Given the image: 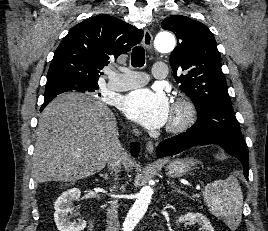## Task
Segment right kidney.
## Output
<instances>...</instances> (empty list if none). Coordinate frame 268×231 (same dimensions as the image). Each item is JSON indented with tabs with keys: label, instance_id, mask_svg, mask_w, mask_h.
Masks as SVG:
<instances>
[{
	"label": "right kidney",
	"instance_id": "ca27d5eb",
	"mask_svg": "<svg viewBox=\"0 0 268 231\" xmlns=\"http://www.w3.org/2000/svg\"><path fill=\"white\" fill-rule=\"evenodd\" d=\"M80 195L79 188H71L63 192L55 201L54 221L59 231H82L86 227L85 220L71 222L68 218V213L71 212L70 205L74 200H78Z\"/></svg>",
	"mask_w": 268,
	"mask_h": 231
}]
</instances>
